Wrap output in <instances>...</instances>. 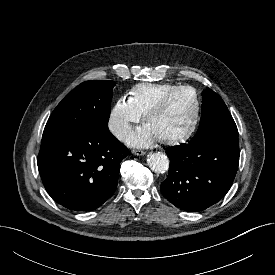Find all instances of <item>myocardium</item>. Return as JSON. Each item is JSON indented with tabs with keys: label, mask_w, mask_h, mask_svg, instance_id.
Segmentation results:
<instances>
[{
	"label": "myocardium",
	"mask_w": 275,
	"mask_h": 275,
	"mask_svg": "<svg viewBox=\"0 0 275 275\" xmlns=\"http://www.w3.org/2000/svg\"><path fill=\"white\" fill-rule=\"evenodd\" d=\"M185 90H189L194 94L195 109H194L192 120L188 128L183 133L174 137L159 139L160 142L164 144L175 145V144L182 143L187 139H189L191 135L194 133L199 122L200 111H201V101H200V96L198 91L194 87L189 85L177 86L172 90L168 91L167 93H165L145 114V121L148 123V121L153 116L161 112L166 107L167 103L169 102L172 96H174L178 92L185 91Z\"/></svg>",
	"instance_id": "myocardium-1"
}]
</instances>
